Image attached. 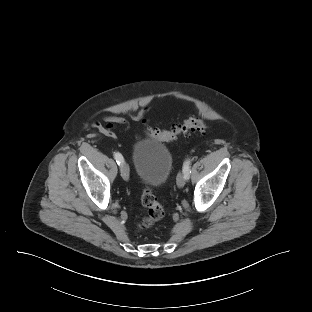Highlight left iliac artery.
<instances>
[{
    "label": "left iliac artery",
    "instance_id": "1",
    "mask_svg": "<svg viewBox=\"0 0 312 312\" xmlns=\"http://www.w3.org/2000/svg\"><path fill=\"white\" fill-rule=\"evenodd\" d=\"M190 164H191V160L187 159L184 164H183V173L186 177V179L189 178V173H190Z\"/></svg>",
    "mask_w": 312,
    "mask_h": 312
}]
</instances>
